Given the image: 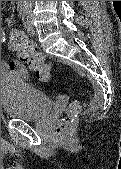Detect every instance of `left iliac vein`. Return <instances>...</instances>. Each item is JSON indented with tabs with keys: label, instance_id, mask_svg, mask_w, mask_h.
Wrapping results in <instances>:
<instances>
[{
	"label": "left iliac vein",
	"instance_id": "1",
	"mask_svg": "<svg viewBox=\"0 0 121 169\" xmlns=\"http://www.w3.org/2000/svg\"><path fill=\"white\" fill-rule=\"evenodd\" d=\"M26 29L29 35H34L35 34V28L32 24L31 18L27 16L26 18Z\"/></svg>",
	"mask_w": 121,
	"mask_h": 169
}]
</instances>
